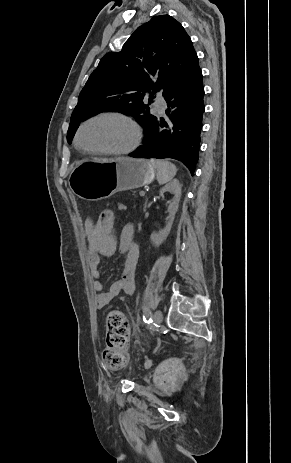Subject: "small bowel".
Returning a JSON list of instances; mask_svg holds the SVG:
<instances>
[{
	"label": "small bowel",
	"instance_id": "1",
	"mask_svg": "<svg viewBox=\"0 0 291 463\" xmlns=\"http://www.w3.org/2000/svg\"><path fill=\"white\" fill-rule=\"evenodd\" d=\"M85 232L88 239L87 261L95 290V307L102 309L121 292L128 295L134 293L139 248L134 238V228L129 224L123 227L119 242H117L114 227L107 228L106 232L98 231V219L96 221L87 220ZM117 249L124 255L121 277L104 289L100 271L101 257L112 256Z\"/></svg>",
	"mask_w": 291,
	"mask_h": 463
}]
</instances>
